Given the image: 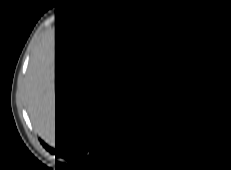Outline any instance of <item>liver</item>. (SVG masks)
I'll return each instance as SVG.
<instances>
[{"instance_id":"liver-1","label":"liver","mask_w":231,"mask_h":170,"mask_svg":"<svg viewBox=\"0 0 231 170\" xmlns=\"http://www.w3.org/2000/svg\"><path fill=\"white\" fill-rule=\"evenodd\" d=\"M74 21V50L82 61L77 62L79 72L83 78L81 89L70 97L59 109L56 110L55 101V70L58 61H63L67 56L68 44L63 42V50L56 49L55 32L45 39L40 51L35 57L34 65L28 81V103L35 123L36 131L49 145L54 146L56 137L59 141L67 140L73 134L77 122L88 111L87 63L85 61L84 22ZM61 51H65L61 52ZM59 110V111H58ZM62 139V140H61Z\"/></svg>"}]
</instances>
